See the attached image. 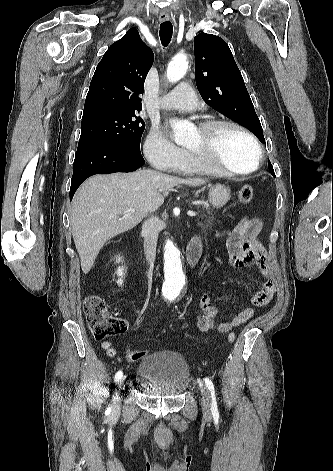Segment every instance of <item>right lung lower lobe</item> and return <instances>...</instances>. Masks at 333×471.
Wrapping results in <instances>:
<instances>
[{
    "instance_id": "1",
    "label": "right lung lower lobe",
    "mask_w": 333,
    "mask_h": 471,
    "mask_svg": "<svg viewBox=\"0 0 333 471\" xmlns=\"http://www.w3.org/2000/svg\"><path fill=\"white\" fill-rule=\"evenodd\" d=\"M140 152L107 142L78 144L70 188V200L80 184L95 174L132 172L144 165Z\"/></svg>"
}]
</instances>
